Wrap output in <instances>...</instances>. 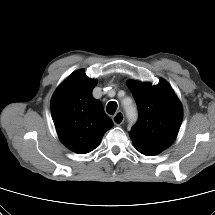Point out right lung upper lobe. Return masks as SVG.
<instances>
[{
    "label": "right lung upper lobe",
    "instance_id": "cb5924a9",
    "mask_svg": "<svg viewBox=\"0 0 215 215\" xmlns=\"http://www.w3.org/2000/svg\"><path fill=\"white\" fill-rule=\"evenodd\" d=\"M96 84L84 70H78L57 88L51 100V114L60 140L79 154L94 150L113 126L101 102L92 96Z\"/></svg>",
    "mask_w": 215,
    "mask_h": 215
}]
</instances>
